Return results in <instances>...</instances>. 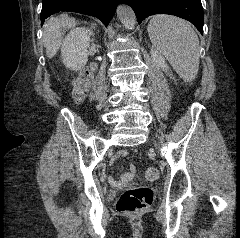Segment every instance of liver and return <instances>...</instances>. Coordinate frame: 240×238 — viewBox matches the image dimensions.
Masks as SVG:
<instances>
[{"mask_svg": "<svg viewBox=\"0 0 240 238\" xmlns=\"http://www.w3.org/2000/svg\"><path fill=\"white\" fill-rule=\"evenodd\" d=\"M77 24L74 18H70L68 15H61L58 18H51L45 23L43 30V44L46 48V54L48 58H52L62 42V28L70 29Z\"/></svg>", "mask_w": 240, "mask_h": 238, "instance_id": "6515ba94", "label": "liver"}]
</instances>
